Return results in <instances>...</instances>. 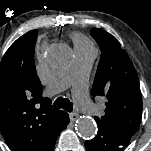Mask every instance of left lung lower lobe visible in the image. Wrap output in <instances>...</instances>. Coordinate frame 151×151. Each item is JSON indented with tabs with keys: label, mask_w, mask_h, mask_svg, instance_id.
<instances>
[{
	"label": "left lung lower lobe",
	"mask_w": 151,
	"mask_h": 151,
	"mask_svg": "<svg viewBox=\"0 0 151 151\" xmlns=\"http://www.w3.org/2000/svg\"><path fill=\"white\" fill-rule=\"evenodd\" d=\"M131 136L98 126V134L85 142L88 151H123Z\"/></svg>",
	"instance_id": "obj_1"
}]
</instances>
